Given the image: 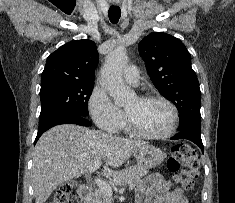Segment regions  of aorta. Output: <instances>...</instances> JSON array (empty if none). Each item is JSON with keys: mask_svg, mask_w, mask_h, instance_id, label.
Returning <instances> with one entry per match:
<instances>
[{"mask_svg": "<svg viewBox=\"0 0 235 203\" xmlns=\"http://www.w3.org/2000/svg\"><path fill=\"white\" fill-rule=\"evenodd\" d=\"M127 63V51L120 46L107 55L101 71V85L108 91L117 105H124L130 96L122 76Z\"/></svg>", "mask_w": 235, "mask_h": 203, "instance_id": "aorta-1", "label": "aorta"}]
</instances>
